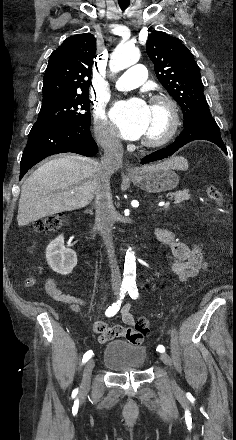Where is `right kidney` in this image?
<instances>
[{
    "mask_svg": "<svg viewBox=\"0 0 236 440\" xmlns=\"http://www.w3.org/2000/svg\"><path fill=\"white\" fill-rule=\"evenodd\" d=\"M46 260L54 272L62 275L70 274L77 265V255L64 246L63 235H59L47 246Z\"/></svg>",
    "mask_w": 236,
    "mask_h": 440,
    "instance_id": "ca27d5eb",
    "label": "right kidney"
}]
</instances>
